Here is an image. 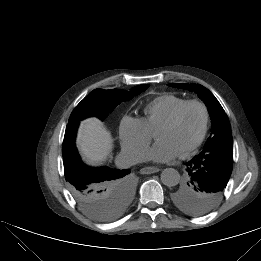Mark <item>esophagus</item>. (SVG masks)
<instances>
[{
  "instance_id": "obj_1",
  "label": "esophagus",
  "mask_w": 261,
  "mask_h": 261,
  "mask_svg": "<svg viewBox=\"0 0 261 261\" xmlns=\"http://www.w3.org/2000/svg\"><path fill=\"white\" fill-rule=\"evenodd\" d=\"M160 169L158 167H153V166H150V167H144L140 170V173L141 174H153V173H157L159 172Z\"/></svg>"
}]
</instances>
